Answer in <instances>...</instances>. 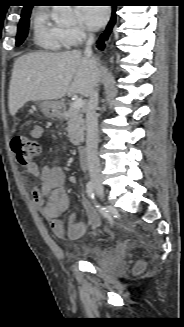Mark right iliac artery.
<instances>
[{
	"label": "right iliac artery",
	"mask_w": 184,
	"mask_h": 327,
	"mask_svg": "<svg viewBox=\"0 0 184 327\" xmlns=\"http://www.w3.org/2000/svg\"><path fill=\"white\" fill-rule=\"evenodd\" d=\"M86 192L89 196V198H91L92 200L95 199V193H94V183L92 181H89L86 185ZM96 207L98 208L99 212L102 213L109 221L110 223H112L111 221V217L110 215L107 213V211L105 210V208L96 205Z\"/></svg>",
	"instance_id": "82829eb1"
}]
</instances>
